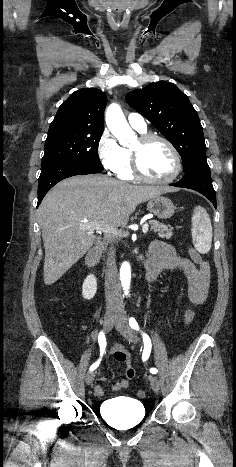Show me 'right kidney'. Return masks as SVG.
Segmentation results:
<instances>
[{
  "label": "right kidney",
  "instance_id": "ca27d5eb",
  "mask_svg": "<svg viewBox=\"0 0 236 467\" xmlns=\"http://www.w3.org/2000/svg\"><path fill=\"white\" fill-rule=\"evenodd\" d=\"M97 291V280L94 275H88L82 286V295L86 300L92 299Z\"/></svg>",
  "mask_w": 236,
  "mask_h": 467
}]
</instances>
